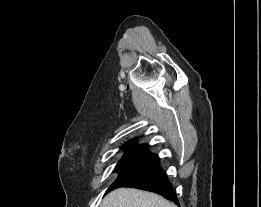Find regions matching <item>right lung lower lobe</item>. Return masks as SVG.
Segmentation results:
<instances>
[{
  "instance_id": "1",
  "label": "right lung lower lobe",
  "mask_w": 261,
  "mask_h": 207,
  "mask_svg": "<svg viewBox=\"0 0 261 207\" xmlns=\"http://www.w3.org/2000/svg\"><path fill=\"white\" fill-rule=\"evenodd\" d=\"M121 187H132L151 191L160 194L166 199H169L179 205L172 185L167 179L165 172L159 165L154 169L135 177Z\"/></svg>"
}]
</instances>
